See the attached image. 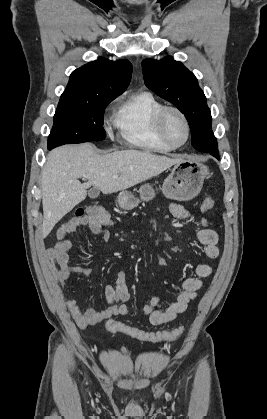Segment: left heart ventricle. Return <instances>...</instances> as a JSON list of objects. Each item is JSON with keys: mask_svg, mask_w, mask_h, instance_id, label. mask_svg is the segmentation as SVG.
<instances>
[{"mask_svg": "<svg viewBox=\"0 0 267 419\" xmlns=\"http://www.w3.org/2000/svg\"><path fill=\"white\" fill-rule=\"evenodd\" d=\"M165 131L174 144H181L185 140L186 129L183 121L176 113L168 114L165 122Z\"/></svg>", "mask_w": 267, "mask_h": 419, "instance_id": "obj_1", "label": "left heart ventricle"}]
</instances>
